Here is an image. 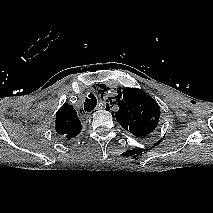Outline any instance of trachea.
<instances>
[{
	"mask_svg": "<svg viewBox=\"0 0 213 213\" xmlns=\"http://www.w3.org/2000/svg\"><path fill=\"white\" fill-rule=\"evenodd\" d=\"M89 98H86L84 103V109L87 112H91L97 105V99L94 94L90 93L88 95Z\"/></svg>",
	"mask_w": 213,
	"mask_h": 213,
	"instance_id": "3493384b",
	"label": "trachea"
}]
</instances>
